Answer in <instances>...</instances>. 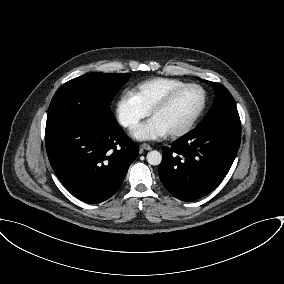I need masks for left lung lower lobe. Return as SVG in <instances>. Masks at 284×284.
<instances>
[{
	"instance_id": "1",
	"label": "left lung lower lobe",
	"mask_w": 284,
	"mask_h": 284,
	"mask_svg": "<svg viewBox=\"0 0 284 284\" xmlns=\"http://www.w3.org/2000/svg\"><path fill=\"white\" fill-rule=\"evenodd\" d=\"M240 121L197 126L171 147H163L160 180L174 197L199 199L213 191L228 173L239 149Z\"/></svg>"
}]
</instances>
